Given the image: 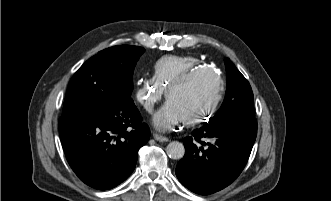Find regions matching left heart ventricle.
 I'll return each instance as SVG.
<instances>
[{
  "mask_svg": "<svg viewBox=\"0 0 331 201\" xmlns=\"http://www.w3.org/2000/svg\"><path fill=\"white\" fill-rule=\"evenodd\" d=\"M218 88L219 83L213 73L200 72L185 87L176 91L171 101L175 103L184 119L193 118L210 106Z\"/></svg>",
  "mask_w": 331,
  "mask_h": 201,
  "instance_id": "left-heart-ventricle-1",
  "label": "left heart ventricle"
}]
</instances>
